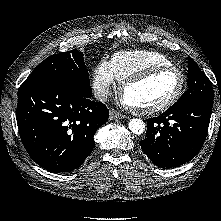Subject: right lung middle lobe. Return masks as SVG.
Here are the masks:
<instances>
[{
    "label": "right lung middle lobe",
    "instance_id": "obj_1",
    "mask_svg": "<svg viewBox=\"0 0 221 221\" xmlns=\"http://www.w3.org/2000/svg\"><path fill=\"white\" fill-rule=\"evenodd\" d=\"M38 82H63L78 87L91 95L89 73L86 69L83 54L72 50L52 55L42 61L22 84L23 86Z\"/></svg>",
    "mask_w": 221,
    "mask_h": 221
}]
</instances>
